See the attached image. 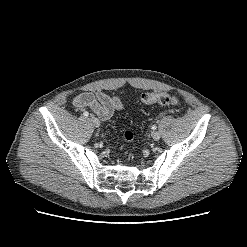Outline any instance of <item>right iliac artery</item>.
Here are the masks:
<instances>
[{"instance_id":"82829eb1","label":"right iliac artery","mask_w":247,"mask_h":247,"mask_svg":"<svg viewBox=\"0 0 247 247\" xmlns=\"http://www.w3.org/2000/svg\"><path fill=\"white\" fill-rule=\"evenodd\" d=\"M83 115H84L85 117H87V116L89 115V113H88L87 111H85V112L83 113Z\"/></svg>"}]
</instances>
